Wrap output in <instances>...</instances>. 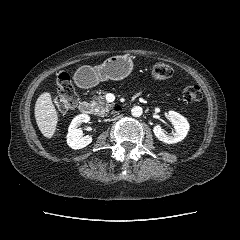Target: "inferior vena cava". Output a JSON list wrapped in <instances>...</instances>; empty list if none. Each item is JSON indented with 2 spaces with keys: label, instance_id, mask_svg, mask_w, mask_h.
Wrapping results in <instances>:
<instances>
[{
  "label": "inferior vena cava",
  "instance_id": "602c4592",
  "mask_svg": "<svg viewBox=\"0 0 240 240\" xmlns=\"http://www.w3.org/2000/svg\"><path fill=\"white\" fill-rule=\"evenodd\" d=\"M116 116V115H115ZM120 116H116L114 119H112V120H116V119H118Z\"/></svg>",
  "mask_w": 240,
  "mask_h": 240
}]
</instances>
